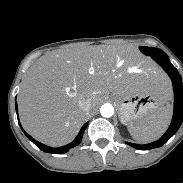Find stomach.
I'll list each match as a JSON object with an SVG mask.
<instances>
[{
    "label": "stomach",
    "instance_id": "obj_1",
    "mask_svg": "<svg viewBox=\"0 0 183 183\" xmlns=\"http://www.w3.org/2000/svg\"><path fill=\"white\" fill-rule=\"evenodd\" d=\"M119 118L123 124H137L142 118L153 113L163 102L153 92H137L126 95L114 94Z\"/></svg>",
    "mask_w": 183,
    "mask_h": 183
}]
</instances>
